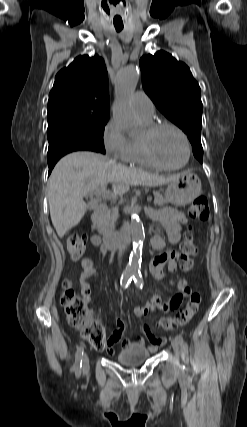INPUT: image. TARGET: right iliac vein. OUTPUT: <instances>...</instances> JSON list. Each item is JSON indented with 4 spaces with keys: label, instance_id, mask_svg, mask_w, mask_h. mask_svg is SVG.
Returning <instances> with one entry per match:
<instances>
[{
    "label": "right iliac vein",
    "instance_id": "63e3f726",
    "mask_svg": "<svg viewBox=\"0 0 247 427\" xmlns=\"http://www.w3.org/2000/svg\"><path fill=\"white\" fill-rule=\"evenodd\" d=\"M88 370H89V357L88 355H85L83 359V371L87 372Z\"/></svg>",
    "mask_w": 247,
    "mask_h": 427
}]
</instances>
